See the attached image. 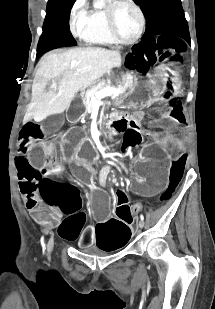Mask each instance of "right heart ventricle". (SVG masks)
<instances>
[{
	"instance_id": "1",
	"label": "right heart ventricle",
	"mask_w": 215,
	"mask_h": 309,
	"mask_svg": "<svg viewBox=\"0 0 215 309\" xmlns=\"http://www.w3.org/2000/svg\"><path fill=\"white\" fill-rule=\"evenodd\" d=\"M82 32L90 42L111 40L103 14H88L87 19H82Z\"/></svg>"
}]
</instances>
